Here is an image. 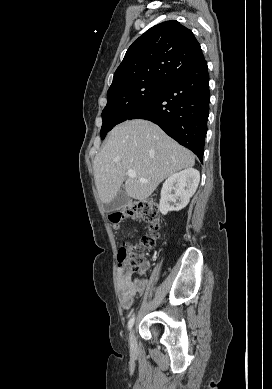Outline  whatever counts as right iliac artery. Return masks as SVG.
Returning <instances> with one entry per match:
<instances>
[{"label": "right iliac artery", "instance_id": "82829eb1", "mask_svg": "<svg viewBox=\"0 0 272 389\" xmlns=\"http://www.w3.org/2000/svg\"><path fill=\"white\" fill-rule=\"evenodd\" d=\"M135 317H132L128 322V328L131 329L134 324Z\"/></svg>", "mask_w": 272, "mask_h": 389}]
</instances>
